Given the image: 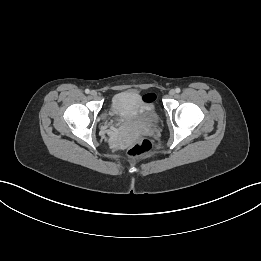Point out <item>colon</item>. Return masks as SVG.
Here are the masks:
<instances>
[{"mask_svg": "<svg viewBox=\"0 0 261 261\" xmlns=\"http://www.w3.org/2000/svg\"><path fill=\"white\" fill-rule=\"evenodd\" d=\"M140 104L146 108L155 107L158 104L159 98L155 92L146 91L140 95L139 98ZM146 116L149 119H152L155 116V113L152 110H149L146 113ZM153 150V143L150 139L142 138L138 140L128 151V154L132 158H140L145 155H148Z\"/></svg>", "mask_w": 261, "mask_h": 261, "instance_id": "colon-1", "label": "colon"}]
</instances>
